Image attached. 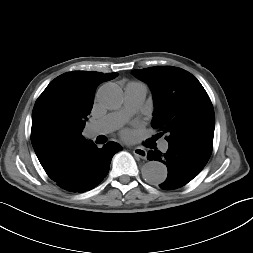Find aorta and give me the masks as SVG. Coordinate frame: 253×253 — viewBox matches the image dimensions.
Here are the masks:
<instances>
[{
    "instance_id": "1",
    "label": "aorta",
    "mask_w": 253,
    "mask_h": 253,
    "mask_svg": "<svg viewBox=\"0 0 253 253\" xmlns=\"http://www.w3.org/2000/svg\"><path fill=\"white\" fill-rule=\"evenodd\" d=\"M97 100L105 109L114 110L121 106L123 93L121 88L113 83L104 84L97 91ZM142 176L150 184L158 185L167 178L166 166L158 161H149L142 167Z\"/></svg>"
}]
</instances>
